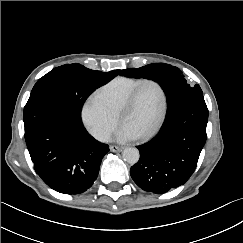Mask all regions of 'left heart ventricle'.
<instances>
[{"mask_svg":"<svg viewBox=\"0 0 243 243\" xmlns=\"http://www.w3.org/2000/svg\"><path fill=\"white\" fill-rule=\"evenodd\" d=\"M162 104V95L154 83L144 84L133 107L124 115L122 123L138 135L145 132L155 121Z\"/></svg>","mask_w":243,"mask_h":243,"instance_id":"b2bd125f","label":"left heart ventricle"}]
</instances>
